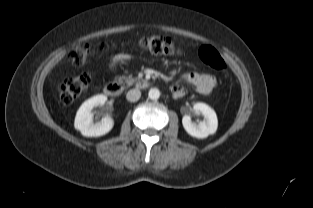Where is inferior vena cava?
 <instances>
[{
  "instance_id": "1",
  "label": "inferior vena cava",
  "mask_w": 313,
  "mask_h": 208,
  "mask_svg": "<svg viewBox=\"0 0 313 208\" xmlns=\"http://www.w3.org/2000/svg\"><path fill=\"white\" fill-rule=\"evenodd\" d=\"M141 97V92L139 89H131L128 91L126 98L130 102L138 101Z\"/></svg>"
}]
</instances>
